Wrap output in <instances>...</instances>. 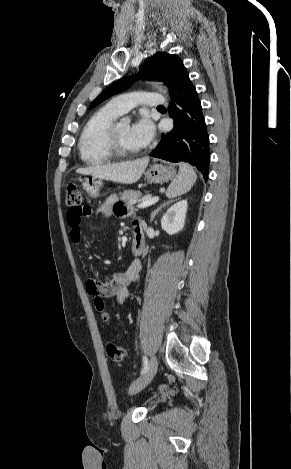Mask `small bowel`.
<instances>
[{
	"instance_id": "obj_1",
	"label": "small bowel",
	"mask_w": 291,
	"mask_h": 469,
	"mask_svg": "<svg viewBox=\"0 0 291 469\" xmlns=\"http://www.w3.org/2000/svg\"><path fill=\"white\" fill-rule=\"evenodd\" d=\"M127 211L121 204L116 202V198L111 196L98 209L97 214L104 217H110L113 214L125 215ZM85 216L80 215L77 210L70 209L67 212V223L70 227V239L74 244H78L81 240V220ZM134 226H142L139 220L133 222ZM142 269V263L134 260L130 263L125 271L114 273L108 280L101 282L94 278L86 279V289L90 295H105L106 298L114 297L119 303H123L129 296L130 286L139 277Z\"/></svg>"
}]
</instances>
